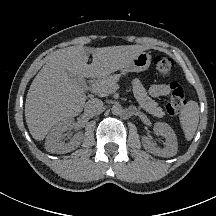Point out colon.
<instances>
[{
	"label": "colon",
	"mask_w": 216,
	"mask_h": 216,
	"mask_svg": "<svg viewBox=\"0 0 216 216\" xmlns=\"http://www.w3.org/2000/svg\"><path fill=\"white\" fill-rule=\"evenodd\" d=\"M153 66L160 76L167 77L174 67V60L167 56L157 55L153 59ZM170 90L171 94L166 110L170 115H177L186 105L185 91L182 85L178 82H172Z\"/></svg>",
	"instance_id": "5ec220e1"
}]
</instances>
